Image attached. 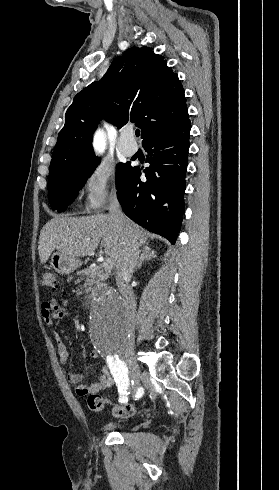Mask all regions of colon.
Here are the masks:
<instances>
[{
	"label": "colon",
	"instance_id": "obj_1",
	"mask_svg": "<svg viewBox=\"0 0 279 490\" xmlns=\"http://www.w3.org/2000/svg\"><path fill=\"white\" fill-rule=\"evenodd\" d=\"M40 284L43 288L54 289L56 286V274L51 270H46L40 279ZM106 405H111L112 414L117 418H127L137 413V407L134 404H114L111 401L98 393L90 394L87 399V407L91 412H99Z\"/></svg>",
	"mask_w": 279,
	"mask_h": 490
}]
</instances>
